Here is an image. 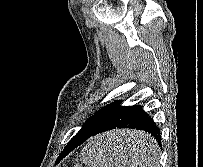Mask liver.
<instances>
[{"label":"liver","instance_id":"6515ba94","mask_svg":"<svg viewBox=\"0 0 203 167\" xmlns=\"http://www.w3.org/2000/svg\"><path fill=\"white\" fill-rule=\"evenodd\" d=\"M140 134L137 131H129V130H122V131H115L112 133L107 134V137L115 136V143L116 144H125V143H136V136ZM118 156L120 160H126L129 164L133 165L135 163L136 167L142 166L144 163L141 162V158L137 155L136 151L133 148H123L120 146L116 147ZM134 161V162H133Z\"/></svg>","mask_w":203,"mask_h":167}]
</instances>
